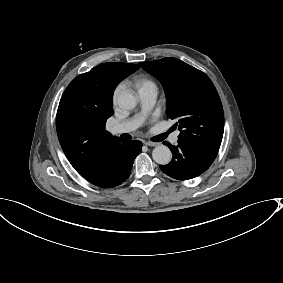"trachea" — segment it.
<instances>
[{"label":"trachea","mask_w":283,"mask_h":283,"mask_svg":"<svg viewBox=\"0 0 283 283\" xmlns=\"http://www.w3.org/2000/svg\"><path fill=\"white\" fill-rule=\"evenodd\" d=\"M174 130H175V128L171 127L169 130H167V132H165V134H162V140L165 139V137H167L168 134H170Z\"/></svg>","instance_id":"obj_1"}]
</instances>
